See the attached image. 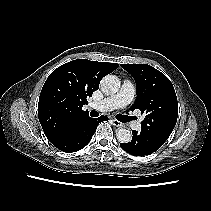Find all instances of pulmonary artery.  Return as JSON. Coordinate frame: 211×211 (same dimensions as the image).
I'll use <instances>...</instances> for the list:
<instances>
[{"label": "pulmonary artery", "instance_id": "e3ab8cb5", "mask_svg": "<svg viewBox=\"0 0 211 211\" xmlns=\"http://www.w3.org/2000/svg\"><path fill=\"white\" fill-rule=\"evenodd\" d=\"M135 93L136 89L134 84L129 80H124L120 90L115 95L93 102L90 106L91 108L101 112L123 108L133 100ZM131 126L136 130H139L141 127L139 122H133Z\"/></svg>", "mask_w": 211, "mask_h": 211}]
</instances>
